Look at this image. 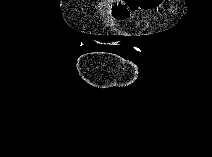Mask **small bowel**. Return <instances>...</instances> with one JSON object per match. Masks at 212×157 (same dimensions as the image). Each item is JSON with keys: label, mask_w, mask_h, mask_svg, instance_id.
Returning a JSON list of instances; mask_svg holds the SVG:
<instances>
[{"label": "small bowel", "mask_w": 212, "mask_h": 157, "mask_svg": "<svg viewBox=\"0 0 212 157\" xmlns=\"http://www.w3.org/2000/svg\"><path fill=\"white\" fill-rule=\"evenodd\" d=\"M162 6L163 0H123L106 5L104 11L117 21H125L139 10L154 11Z\"/></svg>", "instance_id": "small-bowel-1"}]
</instances>
